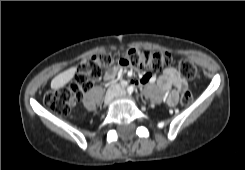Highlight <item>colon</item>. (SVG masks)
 Returning <instances> with one entry per match:
<instances>
[{
    "label": "colon",
    "instance_id": "5ec220e1",
    "mask_svg": "<svg viewBox=\"0 0 245 170\" xmlns=\"http://www.w3.org/2000/svg\"><path fill=\"white\" fill-rule=\"evenodd\" d=\"M171 57L164 52L144 51L131 48L122 54H101L84 58L78 66L77 75L70 86L59 87L44 95V104L50 110L60 114L68 115L74 103L87 92L98 78L103 68L112 65H121L126 68H142L146 70L159 71L169 65ZM180 74L187 79L197 76V69L189 60H181L179 63ZM193 96L189 91L180 95V103L184 106L191 104Z\"/></svg>",
    "mask_w": 245,
    "mask_h": 170
}]
</instances>
